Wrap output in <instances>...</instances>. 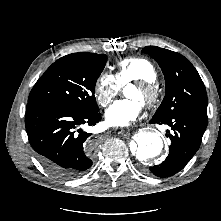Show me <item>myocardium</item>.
<instances>
[{"label": "myocardium", "mask_w": 221, "mask_h": 221, "mask_svg": "<svg viewBox=\"0 0 221 221\" xmlns=\"http://www.w3.org/2000/svg\"><path fill=\"white\" fill-rule=\"evenodd\" d=\"M133 85L141 91L144 105L152 107L159 101L160 91L155 82L148 80H134Z\"/></svg>", "instance_id": "f54148a6"}]
</instances>
